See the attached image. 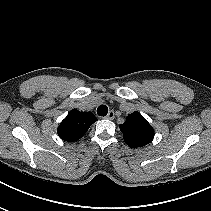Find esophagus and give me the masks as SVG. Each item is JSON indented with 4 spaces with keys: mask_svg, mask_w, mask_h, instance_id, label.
<instances>
[{
    "mask_svg": "<svg viewBox=\"0 0 211 211\" xmlns=\"http://www.w3.org/2000/svg\"><path fill=\"white\" fill-rule=\"evenodd\" d=\"M114 117H115L114 111H109V113L106 115L105 118L112 120V119H114Z\"/></svg>",
    "mask_w": 211,
    "mask_h": 211,
    "instance_id": "1",
    "label": "esophagus"
}]
</instances>
